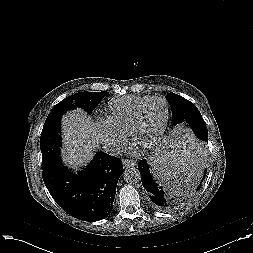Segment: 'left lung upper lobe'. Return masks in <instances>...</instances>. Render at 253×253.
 <instances>
[{"mask_svg": "<svg viewBox=\"0 0 253 253\" xmlns=\"http://www.w3.org/2000/svg\"><path fill=\"white\" fill-rule=\"evenodd\" d=\"M166 99L172 109L173 124L187 123L197 137V140H192V143L199 144L200 148L203 149L205 142L208 140V131L197 107L189 100L175 93H168Z\"/></svg>", "mask_w": 253, "mask_h": 253, "instance_id": "left-lung-upper-lobe-1", "label": "left lung upper lobe"}]
</instances>
